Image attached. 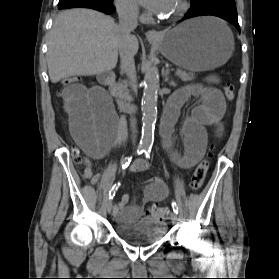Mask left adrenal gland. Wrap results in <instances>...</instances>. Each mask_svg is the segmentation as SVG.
<instances>
[{"label": "left adrenal gland", "mask_w": 279, "mask_h": 279, "mask_svg": "<svg viewBox=\"0 0 279 279\" xmlns=\"http://www.w3.org/2000/svg\"><path fill=\"white\" fill-rule=\"evenodd\" d=\"M169 70L167 69L166 74H165V82H168L170 86L176 87L177 84L174 81H169Z\"/></svg>", "instance_id": "1"}]
</instances>
